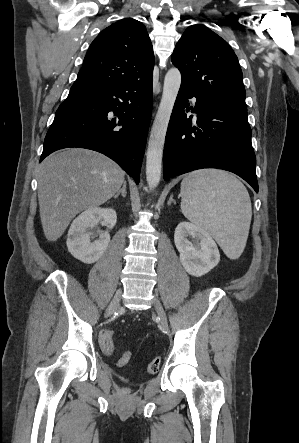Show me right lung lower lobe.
<instances>
[{"mask_svg":"<svg viewBox=\"0 0 299 443\" xmlns=\"http://www.w3.org/2000/svg\"><path fill=\"white\" fill-rule=\"evenodd\" d=\"M153 76L97 88L71 89L44 140L40 162L79 147L116 161L139 183L152 112Z\"/></svg>","mask_w":299,"mask_h":443,"instance_id":"1","label":"right lung lower lobe"}]
</instances>
